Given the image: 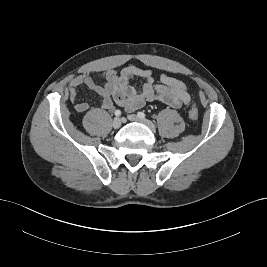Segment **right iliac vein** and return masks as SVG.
<instances>
[{
  "label": "right iliac vein",
  "mask_w": 267,
  "mask_h": 267,
  "mask_svg": "<svg viewBox=\"0 0 267 267\" xmlns=\"http://www.w3.org/2000/svg\"><path fill=\"white\" fill-rule=\"evenodd\" d=\"M121 125H122V120L119 117H116V118L113 119L112 126H113L114 129L120 128Z\"/></svg>",
  "instance_id": "right-iliac-vein-1"
}]
</instances>
